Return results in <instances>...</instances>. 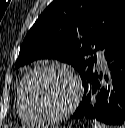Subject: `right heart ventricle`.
I'll return each mask as SVG.
<instances>
[{
	"mask_svg": "<svg viewBox=\"0 0 125 128\" xmlns=\"http://www.w3.org/2000/svg\"><path fill=\"white\" fill-rule=\"evenodd\" d=\"M23 81V80H22ZM22 81L20 83V85L17 88V92H16V97H17V112L19 117L27 124H32L35 123L36 121L33 120L25 111L23 103L21 101V84Z\"/></svg>",
	"mask_w": 125,
	"mask_h": 128,
	"instance_id": "e07e8e85",
	"label": "right heart ventricle"
}]
</instances>
